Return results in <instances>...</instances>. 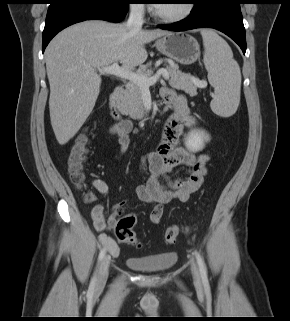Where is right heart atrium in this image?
<instances>
[{
	"label": "right heart atrium",
	"mask_w": 290,
	"mask_h": 321,
	"mask_svg": "<svg viewBox=\"0 0 290 321\" xmlns=\"http://www.w3.org/2000/svg\"><path fill=\"white\" fill-rule=\"evenodd\" d=\"M130 10L136 15H143L146 11L144 0H133L130 5Z\"/></svg>",
	"instance_id": "obj_1"
}]
</instances>
